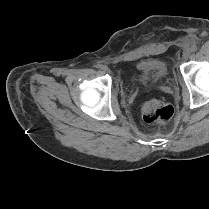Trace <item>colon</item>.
Segmentation results:
<instances>
[{
	"label": "colon",
	"mask_w": 209,
	"mask_h": 209,
	"mask_svg": "<svg viewBox=\"0 0 209 209\" xmlns=\"http://www.w3.org/2000/svg\"><path fill=\"white\" fill-rule=\"evenodd\" d=\"M141 115L146 123L166 124L172 119L174 110L172 106L154 99L142 105Z\"/></svg>",
	"instance_id": "1"
}]
</instances>
